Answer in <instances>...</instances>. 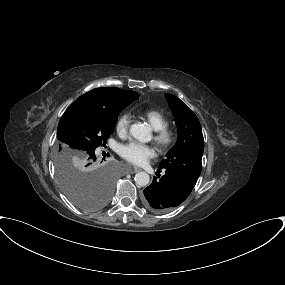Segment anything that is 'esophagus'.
<instances>
[{"mask_svg": "<svg viewBox=\"0 0 285 285\" xmlns=\"http://www.w3.org/2000/svg\"><path fill=\"white\" fill-rule=\"evenodd\" d=\"M140 171H141V169L138 168V167H134V168H133V172H134V173H137V172H140Z\"/></svg>", "mask_w": 285, "mask_h": 285, "instance_id": "obj_1", "label": "esophagus"}]
</instances>
